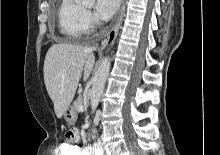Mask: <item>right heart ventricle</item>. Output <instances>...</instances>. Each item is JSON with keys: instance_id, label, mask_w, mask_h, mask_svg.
Listing matches in <instances>:
<instances>
[{"instance_id": "obj_1", "label": "right heart ventricle", "mask_w": 220, "mask_h": 155, "mask_svg": "<svg viewBox=\"0 0 220 155\" xmlns=\"http://www.w3.org/2000/svg\"><path fill=\"white\" fill-rule=\"evenodd\" d=\"M85 15L86 11L75 0H60L57 19L61 34L69 40L82 38L88 30Z\"/></svg>"}]
</instances>
